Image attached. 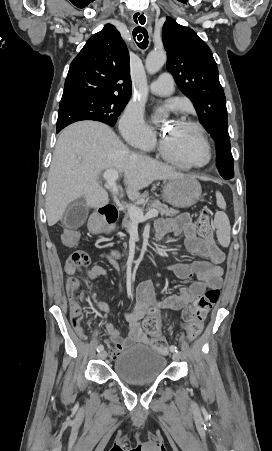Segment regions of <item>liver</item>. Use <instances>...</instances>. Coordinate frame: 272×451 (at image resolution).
<instances>
[{
    "label": "liver",
    "mask_w": 272,
    "mask_h": 451,
    "mask_svg": "<svg viewBox=\"0 0 272 451\" xmlns=\"http://www.w3.org/2000/svg\"><path fill=\"white\" fill-rule=\"evenodd\" d=\"M103 170L124 174L129 200L140 198L139 190L154 180L185 176L167 164L134 154L106 124L76 122L63 130L55 146L47 180L48 226L57 224L69 204L79 198H85L86 208H103L108 204L109 196L98 182Z\"/></svg>",
    "instance_id": "6515ba94"
}]
</instances>
